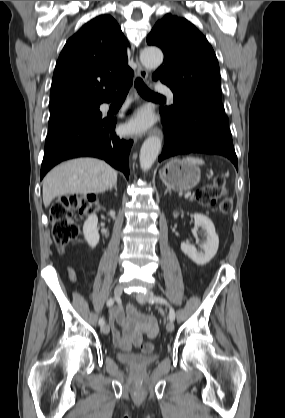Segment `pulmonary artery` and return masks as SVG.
<instances>
[{"label":"pulmonary artery","instance_id":"e3ab8cb5","mask_svg":"<svg viewBox=\"0 0 285 418\" xmlns=\"http://www.w3.org/2000/svg\"><path fill=\"white\" fill-rule=\"evenodd\" d=\"M156 90L158 92H161L163 94H165L167 97L169 98H173L174 97V91L171 90L169 87L167 86H157ZM106 106V105H105Z\"/></svg>","mask_w":285,"mask_h":418}]
</instances>
